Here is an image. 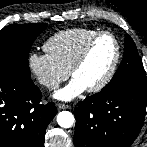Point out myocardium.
Here are the masks:
<instances>
[{
	"label": "myocardium",
	"mask_w": 147,
	"mask_h": 147,
	"mask_svg": "<svg viewBox=\"0 0 147 147\" xmlns=\"http://www.w3.org/2000/svg\"><path fill=\"white\" fill-rule=\"evenodd\" d=\"M110 36L115 44V57L113 59V62L108 70V72L106 73V75L102 78L101 81H99L96 85L87 88L88 92L91 93H96L99 92L101 90H103L113 79L118 65L120 63L121 60V45L120 42L118 40V38L116 37V35L110 31H98L97 33H95L92 37H90L88 39V41L84 44V46L82 47L81 51L79 52L78 56L76 57V59L74 60L73 64L70 67L69 73L70 75L73 77L74 73L82 66V64L85 62L93 44L102 36Z\"/></svg>",
	"instance_id": "obj_1"
}]
</instances>
